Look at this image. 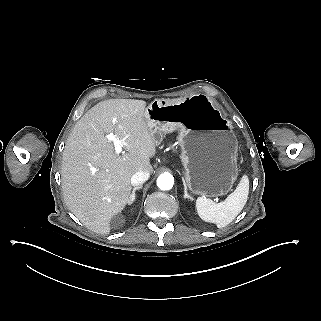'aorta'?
I'll return each instance as SVG.
<instances>
[{"instance_id":"obj_1","label":"aorta","mask_w":321,"mask_h":321,"mask_svg":"<svg viewBox=\"0 0 321 321\" xmlns=\"http://www.w3.org/2000/svg\"><path fill=\"white\" fill-rule=\"evenodd\" d=\"M174 184V178L169 173L161 174L157 178V186L161 190H170L173 187Z\"/></svg>"}]
</instances>
